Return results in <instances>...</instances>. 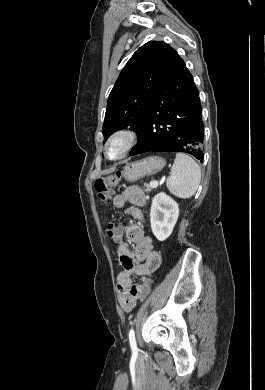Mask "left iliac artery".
Masks as SVG:
<instances>
[{
    "instance_id": "obj_1",
    "label": "left iliac artery",
    "mask_w": 265,
    "mask_h": 390,
    "mask_svg": "<svg viewBox=\"0 0 265 390\" xmlns=\"http://www.w3.org/2000/svg\"><path fill=\"white\" fill-rule=\"evenodd\" d=\"M129 342H130V346H131V350H132V353L133 354H137L138 353V349H137V344H136V339H135V333H134V330L131 329L129 331Z\"/></svg>"
}]
</instances>
